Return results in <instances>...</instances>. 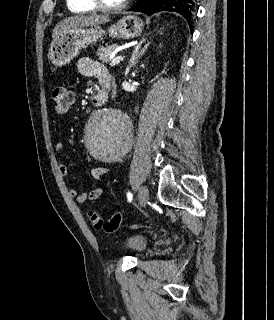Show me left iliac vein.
Wrapping results in <instances>:
<instances>
[{
    "instance_id": "obj_1",
    "label": "left iliac vein",
    "mask_w": 274,
    "mask_h": 320,
    "mask_svg": "<svg viewBox=\"0 0 274 320\" xmlns=\"http://www.w3.org/2000/svg\"><path fill=\"white\" fill-rule=\"evenodd\" d=\"M149 199V190L146 186H142L139 191V204L144 206Z\"/></svg>"
}]
</instances>
